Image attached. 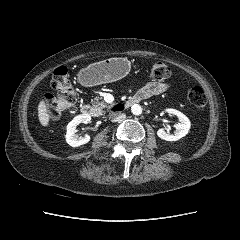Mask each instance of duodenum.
Instances as JSON below:
<instances>
[{"label":"duodenum","instance_id":"obj_1","mask_svg":"<svg viewBox=\"0 0 240 240\" xmlns=\"http://www.w3.org/2000/svg\"><path fill=\"white\" fill-rule=\"evenodd\" d=\"M142 99H143L142 96H140L138 93H136L135 95H133L126 101L116 104L114 106L113 110L116 112L123 111L124 109H127V108L139 103ZM81 111L85 115H89V116L94 115L93 108L88 104L83 105L81 108Z\"/></svg>","mask_w":240,"mask_h":240}]
</instances>
